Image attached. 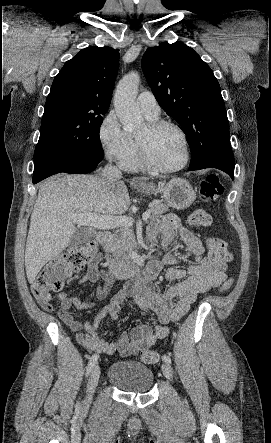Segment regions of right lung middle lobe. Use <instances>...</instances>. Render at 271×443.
I'll return each mask as SVG.
<instances>
[{"mask_svg":"<svg viewBox=\"0 0 271 443\" xmlns=\"http://www.w3.org/2000/svg\"><path fill=\"white\" fill-rule=\"evenodd\" d=\"M107 110H95L70 101L45 104L34 163L54 152L95 154L102 159L99 128Z\"/></svg>","mask_w":271,"mask_h":443,"instance_id":"obj_1","label":"right lung middle lobe"}]
</instances>
